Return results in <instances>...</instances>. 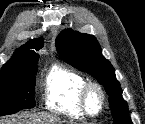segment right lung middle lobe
<instances>
[{
    "mask_svg": "<svg viewBox=\"0 0 145 124\" xmlns=\"http://www.w3.org/2000/svg\"><path fill=\"white\" fill-rule=\"evenodd\" d=\"M36 64L17 73L0 74V116L35 106Z\"/></svg>",
    "mask_w": 145,
    "mask_h": 124,
    "instance_id": "1",
    "label": "right lung middle lobe"
}]
</instances>
